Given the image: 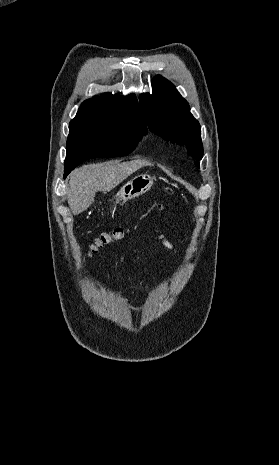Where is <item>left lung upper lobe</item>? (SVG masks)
Returning <instances> with one entry per match:
<instances>
[{
  "label": "left lung upper lobe",
  "mask_w": 279,
  "mask_h": 465,
  "mask_svg": "<svg viewBox=\"0 0 279 465\" xmlns=\"http://www.w3.org/2000/svg\"><path fill=\"white\" fill-rule=\"evenodd\" d=\"M152 94L140 96V104L151 131L177 144H184L196 160L203 156L199 122L190 113L187 101L161 76L152 80ZM197 166L198 163H197Z\"/></svg>",
  "instance_id": "left-lung-upper-lobe-1"
}]
</instances>
